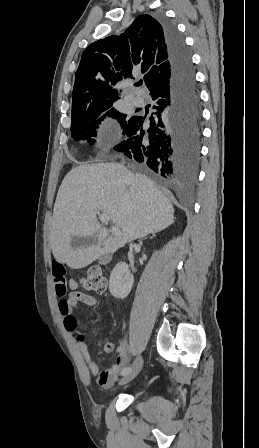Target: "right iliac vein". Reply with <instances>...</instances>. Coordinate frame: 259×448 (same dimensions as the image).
Returning a JSON list of instances; mask_svg holds the SVG:
<instances>
[{"label":"right iliac vein","mask_w":259,"mask_h":448,"mask_svg":"<svg viewBox=\"0 0 259 448\" xmlns=\"http://www.w3.org/2000/svg\"><path fill=\"white\" fill-rule=\"evenodd\" d=\"M143 366V359L142 357L139 355L137 356V358L135 359L132 368L130 370V372L126 375L123 376V378L120 380V385H124L130 381H132L141 371Z\"/></svg>","instance_id":"63e3f726"}]
</instances>
